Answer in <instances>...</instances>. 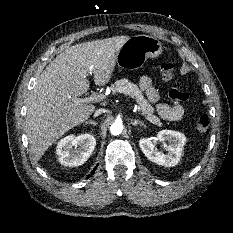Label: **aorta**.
Returning <instances> with one entry per match:
<instances>
[{
  "label": "aorta",
  "instance_id": "obj_1",
  "mask_svg": "<svg viewBox=\"0 0 233 233\" xmlns=\"http://www.w3.org/2000/svg\"><path fill=\"white\" fill-rule=\"evenodd\" d=\"M123 131V125L121 122H114L111 126H110V132L112 135H119L121 134Z\"/></svg>",
  "mask_w": 233,
  "mask_h": 233
}]
</instances>
